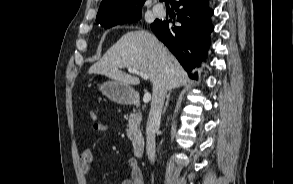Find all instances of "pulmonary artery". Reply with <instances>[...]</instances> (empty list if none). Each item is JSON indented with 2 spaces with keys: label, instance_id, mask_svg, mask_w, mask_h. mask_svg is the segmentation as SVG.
I'll return each mask as SVG.
<instances>
[{
  "label": "pulmonary artery",
  "instance_id": "e3ab8cb5",
  "mask_svg": "<svg viewBox=\"0 0 293 184\" xmlns=\"http://www.w3.org/2000/svg\"><path fill=\"white\" fill-rule=\"evenodd\" d=\"M153 10L158 16L165 15V9L161 5H156Z\"/></svg>",
  "mask_w": 293,
  "mask_h": 184
}]
</instances>
